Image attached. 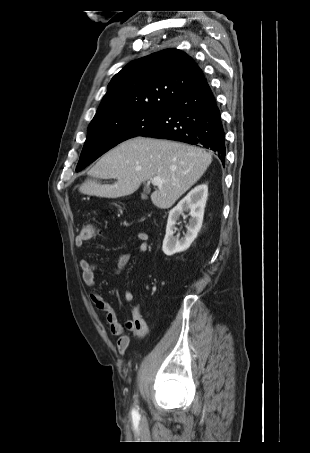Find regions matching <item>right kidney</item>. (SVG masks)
Returning <instances> with one entry per match:
<instances>
[{
    "instance_id": "obj_1",
    "label": "right kidney",
    "mask_w": 310,
    "mask_h": 453,
    "mask_svg": "<svg viewBox=\"0 0 310 453\" xmlns=\"http://www.w3.org/2000/svg\"><path fill=\"white\" fill-rule=\"evenodd\" d=\"M207 196L208 186L206 184L197 185L169 212L166 235L162 246V250L167 256L187 250L195 240L202 227ZM184 211H189L191 218L187 225L186 234L179 239L174 236L177 230L175 225Z\"/></svg>"
}]
</instances>
